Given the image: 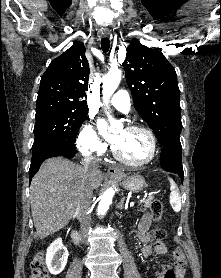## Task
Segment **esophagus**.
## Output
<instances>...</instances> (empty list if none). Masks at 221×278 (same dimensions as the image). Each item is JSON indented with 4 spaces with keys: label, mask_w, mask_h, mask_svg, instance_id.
I'll return each instance as SVG.
<instances>
[{
    "label": "esophagus",
    "mask_w": 221,
    "mask_h": 278,
    "mask_svg": "<svg viewBox=\"0 0 221 278\" xmlns=\"http://www.w3.org/2000/svg\"><path fill=\"white\" fill-rule=\"evenodd\" d=\"M102 34H103V36L108 37L110 35V30L104 29ZM107 174L109 176H120L121 172L117 167L112 166V167L108 168Z\"/></svg>",
    "instance_id": "esophagus-1"
}]
</instances>
